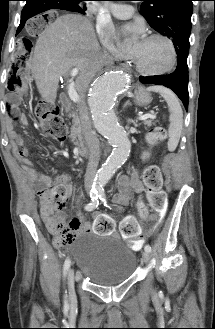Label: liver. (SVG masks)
Wrapping results in <instances>:
<instances>
[{"label": "liver", "mask_w": 215, "mask_h": 329, "mask_svg": "<svg viewBox=\"0 0 215 329\" xmlns=\"http://www.w3.org/2000/svg\"><path fill=\"white\" fill-rule=\"evenodd\" d=\"M105 60L91 21L81 15L66 14L38 37L29 67L40 95L54 103L60 77L78 68L76 89L82 94Z\"/></svg>", "instance_id": "1"}]
</instances>
